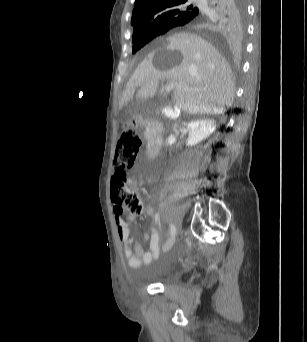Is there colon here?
<instances>
[{"label": "colon", "instance_id": "colon-1", "mask_svg": "<svg viewBox=\"0 0 307 342\" xmlns=\"http://www.w3.org/2000/svg\"><path fill=\"white\" fill-rule=\"evenodd\" d=\"M144 139L135 130L124 131L118 140L115 152V173L118 175L111 186L112 199L118 211L128 210V218L133 220L143 212V203L127 182V173L131 172L140 157Z\"/></svg>", "mask_w": 307, "mask_h": 342}]
</instances>
